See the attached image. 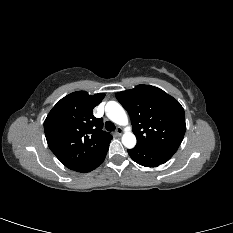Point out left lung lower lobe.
Listing matches in <instances>:
<instances>
[{
    "instance_id": "left-lung-lower-lobe-1",
    "label": "left lung lower lobe",
    "mask_w": 233,
    "mask_h": 233,
    "mask_svg": "<svg viewBox=\"0 0 233 233\" xmlns=\"http://www.w3.org/2000/svg\"><path fill=\"white\" fill-rule=\"evenodd\" d=\"M176 151L175 148L149 147L137 144L135 148L128 150V153L135 162L142 166L157 167L167 162Z\"/></svg>"
}]
</instances>
